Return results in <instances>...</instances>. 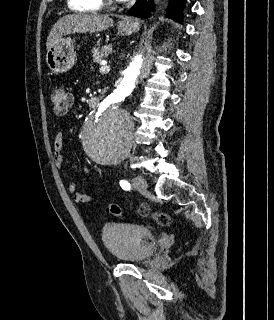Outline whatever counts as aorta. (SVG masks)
I'll list each match as a JSON object with an SVG mask.
<instances>
[{
    "label": "aorta",
    "instance_id": "762f6f07",
    "mask_svg": "<svg viewBox=\"0 0 274 320\" xmlns=\"http://www.w3.org/2000/svg\"><path fill=\"white\" fill-rule=\"evenodd\" d=\"M142 62V55L132 60L119 85L90 114L82 127L83 149L94 162H118L130 151L133 124L123 105L135 87Z\"/></svg>",
    "mask_w": 274,
    "mask_h": 320
}]
</instances>
